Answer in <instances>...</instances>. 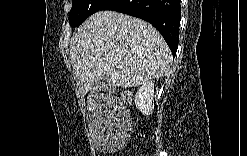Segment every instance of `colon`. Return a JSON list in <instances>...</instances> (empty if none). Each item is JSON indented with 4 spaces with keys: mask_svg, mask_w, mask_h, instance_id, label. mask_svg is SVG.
Segmentation results:
<instances>
[{
    "mask_svg": "<svg viewBox=\"0 0 247 156\" xmlns=\"http://www.w3.org/2000/svg\"><path fill=\"white\" fill-rule=\"evenodd\" d=\"M118 98L123 103H129L131 100V93L127 90L121 91L118 94ZM115 114H116V109H115Z\"/></svg>",
    "mask_w": 247,
    "mask_h": 156,
    "instance_id": "obj_1",
    "label": "colon"
}]
</instances>
